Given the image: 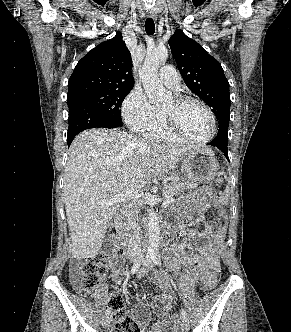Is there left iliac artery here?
Wrapping results in <instances>:
<instances>
[{
    "label": "left iliac artery",
    "instance_id": "left-iliac-artery-1",
    "mask_svg": "<svg viewBox=\"0 0 291 332\" xmlns=\"http://www.w3.org/2000/svg\"><path fill=\"white\" fill-rule=\"evenodd\" d=\"M148 258V257H147ZM151 260L156 264V265H159L160 264V261L159 259L157 258V254H153L150 256ZM181 315L182 317H187V313L184 309L181 310Z\"/></svg>",
    "mask_w": 291,
    "mask_h": 332
}]
</instances>
